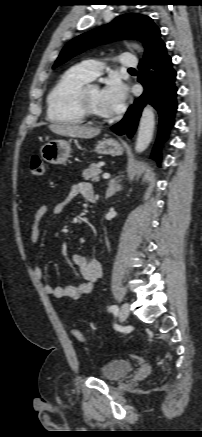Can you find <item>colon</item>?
I'll return each mask as SVG.
<instances>
[{
  "label": "colon",
  "mask_w": 202,
  "mask_h": 437,
  "mask_svg": "<svg viewBox=\"0 0 202 437\" xmlns=\"http://www.w3.org/2000/svg\"><path fill=\"white\" fill-rule=\"evenodd\" d=\"M29 168L30 173L34 176H42L44 174V163L38 155H33L31 157ZM71 334L79 342H83L85 340L82 332L76 328L71 329ZM159 363L163 368L167 367V361L165 359H161Z\"/></svg>",
  "instance_id": "5ec220e1"
}]
</instances>
